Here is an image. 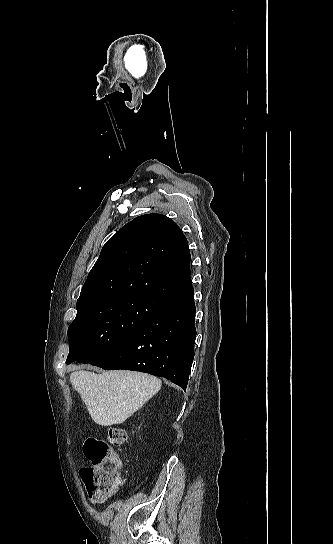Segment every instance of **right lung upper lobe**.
<instances>
[{
	"mask_svg": "<svg viewBox=\"0 0 333 544\" xmlns=\"http://www.w3.org/2000/svg\"><path fill=\"white\" fill-rule=\"evenodd\" d=\"M187 239L162 214L136 217L103 246L77 301L144 294L170 301L193 291Z\"/></svg>",
	"mask_w": 333,
	"mask_h": 544,
	"instance_id": "obj_1",
	"label": "right lung upper lobe"
}]
</instances>
